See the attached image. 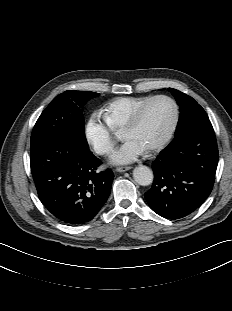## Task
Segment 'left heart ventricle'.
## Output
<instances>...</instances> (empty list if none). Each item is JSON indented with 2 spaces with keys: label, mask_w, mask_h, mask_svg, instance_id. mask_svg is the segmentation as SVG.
Wrapping results in <instances>:
<instances>
[{
  "label": "left heart ventricle",
  "mask_w": 232,
  "mask_h": 311,
  "mask_svg": "<svg viewBox=\"0 0 232 311\" xmlns=\"http://www.w3.org/2000/svg\"><path fill=\"white\" fill-rule=\"evenodd\" d=\"M173 117V108L166 100H157L146 109L140 123L123 136L141 144L145 149L159 142L167 132Z\"/></svg>",
  "instance_id": "left-heart-ventricle-1"
}]
</instances>
